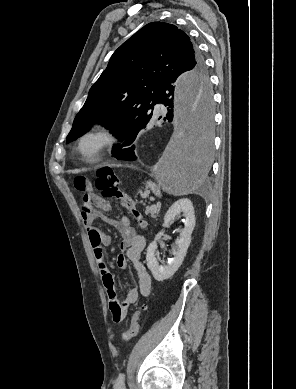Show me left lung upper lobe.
<instances>
[{
  "label": "left lung upper lobe",
  "instance_id": "left-lung-upper-lobe-1",
  "mask_svg": "<svg viewBox=\"0 0 296 389\" xmlns=\"http://www.w3.org/2000/svg\"><path fill=\"white\" fill-rule=\"evenodd\" d=\"M185 71H190L191 78L205 77L210 86L203 59L186 33L168 23L145 25L113 53L76 115L67 142L97 122H103L118 139H124L134 126L139 127L138 134L152 119L162 84Z\"/></svg>",
  "mask_w": 296,
  "mask_h": 389
}]
</instances>
